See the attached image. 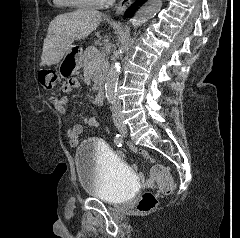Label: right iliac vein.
I'll return each mask as SVG.
<instances>
[{
    "instance_id": "63e3f726",
    "label": "right iliac vein",
    "mask_w": 240,
    "mask_h": 238,
    "mask_svg": "<svg viewBox=\"0 0 240 238\" xmlns=\"http://www.w3.org/2000/svg\"><path fill=\"white\" fill-rule=\"evenodd\" d=\"M124 128H125V127L120 126V127H119V130H120L121 132H123Z\"/></svg>"
}]
</instances>
